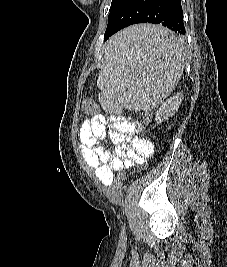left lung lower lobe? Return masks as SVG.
<instances>
[{
  "label": "left lung lower lobe",
  "mask_w": 227,
  "mask_h": 267,
  "mask_svg": "<svg viewBox=\"0 0 227 267\" xmlns=\"http://www.w3.org/2000/svg\"><path fill=\"white\" fill-rule=\"evenodd\" d=\"M136 23L160 24L177 34L184 35L181 0H128L108 17L104 40L106 41L119 30ZM163 44H167V42L144 37L133 42L131 46L135 51H144ZM120 51L123 53L124 46Z\"/></svg>",
  "instance_id": "left-lung-lower-lobe-1"
}]
</instances>
